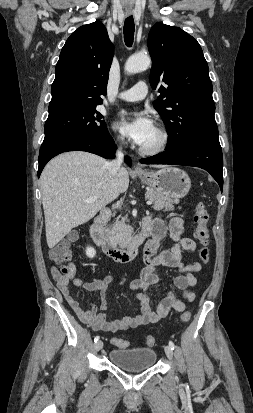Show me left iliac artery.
<instances>
[{
  "label": "left iliac artery",
  "mask_w": 253,
  "mask_h": 413,
  "mask_svg": "<svg viewBox=\"0 0 253 413\" xmlns=\"http://www.w3.org/2000/svg\"><path fill=\"white\" fill-rule=\"evenodd\" d=\"M169 346L171 347L172 350H174L175 345H174V343H173L172 341H169Z\"/></svg>",
  "instance_id": "obj_1"
}]
</instances>
